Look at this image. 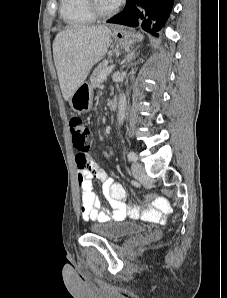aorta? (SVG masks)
<instances>
[{
    "mask_svg": "<svg viewBox=\"0 0 227 298\" xmlns=\"http://www.w3.org/2000/svg\"><path fill=\"white\" fill-rule=\"evenodd\" d=\"M126 97L124 94L120 95L119 103H118V114H117V120L119 124H122L125 118V110H126Z\"/></svg>",
    "mask_w": 227,
    "mask_h": 298,
    "instance_id": "obj_1",
    "label": "aorta"
}]
</instances>
